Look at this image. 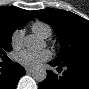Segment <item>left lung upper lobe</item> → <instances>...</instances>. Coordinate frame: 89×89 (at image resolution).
<instances>
[{"mask_svg":"<svg viewBox=\"0 0 89 89\" xmlns=\"http://www.w3.org/2000/svg\"><path fill=\"white\" fill-rule=\"evenodd\" d=\"M39 20L55 30L61 51L54 60L61 65L89 63V21L69 11L44 9L33 11Z\"/></svg>","mask_w":89,"mask_h":89,"instance_id":"left-lung-upper-lobe-1","label":"left lung upper lobe"}]
</instances>
